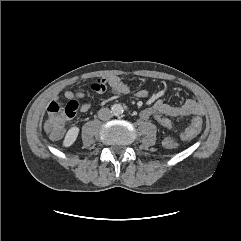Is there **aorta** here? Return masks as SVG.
<instances>
[{"mask_svg": "<svg viewBox=\"0 0 241 241\" xmlns=\"http://www.w3.org/2000/svg\"><path fill=\"white\" fill-rule=\"evenodd\" d=\"M112 113L116 116L121 115L123 113V107L120 104H114L112 106Z\"/></svg>", "mask_w": 241, "mask_h": 241, "instance_id": "1", "label": "aorta"}]
</instances>
